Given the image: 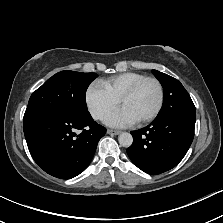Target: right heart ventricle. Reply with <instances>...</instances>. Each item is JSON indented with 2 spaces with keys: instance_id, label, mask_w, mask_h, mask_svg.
I'll list each match as a JSON object with an SVG mask.
<instances>
[{
  "instance_id": "1",
  "label": "right heart ventricle",
  "mask_w": 223,
  "mask_h": 223,
  "mask_svg": "<svg viewBox=\"0 0 223 223\" xmlns=\"http://www.w3.org/2000/svg\"><path fill=\"white\" fill-rule=\"evenodd\" d=\"M143 78H145V75L137 72H124L113 75L102 82L110 94L119 99L123 93Z\"/></svg>"
}]
</instances>
